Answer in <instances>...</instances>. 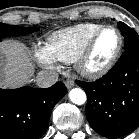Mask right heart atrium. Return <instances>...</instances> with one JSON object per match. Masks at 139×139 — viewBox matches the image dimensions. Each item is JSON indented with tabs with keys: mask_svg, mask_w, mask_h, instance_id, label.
<instances>
[{
	"mask_svg": "<svg viewBox=\"0 0 139 139\" xmlns=\"http://www.w3.org/2000/svg\"><path fill=\"white\" fill-rule=\"evenodd\" d=\"M35 56L38 62L45 67H53L55 65L53 57L49 54L45 47H36Z\"/></svg>",
	"mask_w": 139,
	"mask_h": 139,
	"instance_id": "1",
	"label": "right heart atrium"
}]
</instances>
